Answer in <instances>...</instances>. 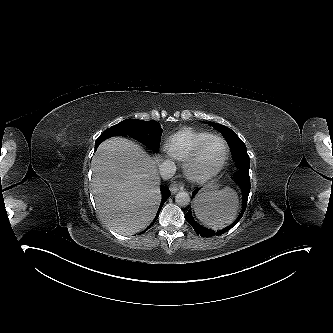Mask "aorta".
<instances>
[{"instance_id":"762f6f07","label":"aorta","mask_w":333,"mask_h":333,"mask_svg":"<svg viewBox=\"0 0 333 333\" xmlns=\"http://www.w3.org/2000/svg\"><path fill=\"white\" fill-rule=\"evenodd\" d=\"M175 202L182 207L187 206L190 203V196L185 191H180L175 196Z\"/></svg>"}]
</instances>
